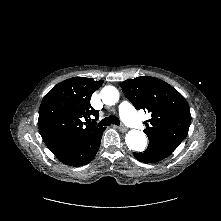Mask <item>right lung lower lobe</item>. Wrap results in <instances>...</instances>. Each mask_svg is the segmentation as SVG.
Returning <instances> with one entry per match:
<instances>
[{
	"instance_id": "98d812e1",
	"label": "right lung lower lobe",
	"mask_w": 221,
	"mask_h": 221,
	"mask_svg": "<svg viewBox=\"0 0 221 221\" xmlns=\"http://www.w3.org/2000/svg\"><path fill=\"white\" fill-rule=\"evenodd\" d=\"M105 129V127H102L94 132L88 133L78 143L56 155V157L62 163L69 166L78 167L89 163L99 149L102 134Z\"/></svg>"
}]
</instances>
